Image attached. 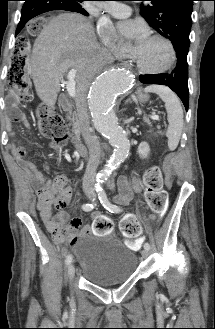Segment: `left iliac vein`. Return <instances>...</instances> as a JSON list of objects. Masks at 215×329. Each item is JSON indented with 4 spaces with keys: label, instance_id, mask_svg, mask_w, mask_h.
<instances>
[{
    "label": "left iliac vein",
    "instance_id": "obj_1",
    "mask_svg": "<svg viewBox=\"0 0 215 329\" xmlns=\"http://www.w3.org/2000/svg\"><path fill=\"white\" fill-rule=\"evenodd\" d=\"M141 254H142V257H143L144 259H146V258L148 257V255H149V250H148V249H144V250L141 252Z\"/></svg>",
    "mask_w": 215,
    "mask_h": 329
}]
</instances>
